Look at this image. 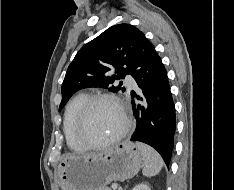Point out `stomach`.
<instances>
[{
	"mask_svg": "<svg viewBox=\"0 0 234 190\" xmlns=\"http://www.w3.org/2000/svg\"><path fill=\"white\" fill-rule=\"evenodd\" d=\"M143 157L136 144L121 142L99 153L69 156L58 166L62 190H103L112 181H124L135 176Z\"/></svg>",
	"mask_w": 234,
	"mask_h": 190,
	"instance_id": "1",
	"label": "stomach"
}]
</instances>
